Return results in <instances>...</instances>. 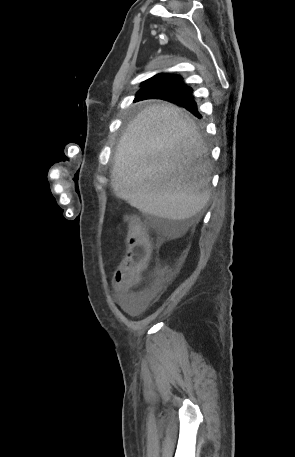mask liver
I'll return each instance as SVG.
<instances>
[{
    "label": "liver",
    "instance_id": "liver-1",
    "mask_svg": "<svg viewBox=\"0 0 295 457\" xmlns=\"http://www.w3.org/2000/svg\"><path fill=\"white\" fill-rule=\"evenodd\" d=\"M195 121L170 103L146 107L116 149L111 186L142 213L185 221L210 199V163Z\"/></svg>",
    "mask_w": 295,
    "mask_h": 457
}]
</instances>
